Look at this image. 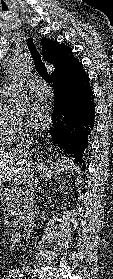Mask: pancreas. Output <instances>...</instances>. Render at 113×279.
<instances>
[{"instance_id":"obj_1","label":"pancreas","mask_w":113,"mask_h":279,"mask_svg":"<svg viewBox=\"0 0 113 279\" xmlns=\"http://www.w3.org/2000/svg\"><path fill=\"white\" fill-rule=\"evenodd\" d=\"M0 200L7 209L15 213L13 221L8 225L9 229H12L17 226L23 218L20 209L22 206V193L20 190L6 188L5 191L0 194Z\"/></svg>"}]
</instances>
